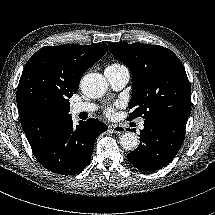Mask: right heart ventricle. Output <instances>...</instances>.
Wrapping results in <instances>:
<instances>
[{"label": "right heart ventricle", "mask_w": 215, "mask_h": 215, "mask_svg": "<svg viewBox=\"0 0 215 215\" xmlns=\"http://www.w3.org/2000/svg\"><path fill=\"white\" fill-rule=\"evenodd\" d=\"M121 67H124V66L119 63H113L110 66H108V68H110V69H119Z\"/></svg>", "instance_id": "obj_1"}]
</instances>
